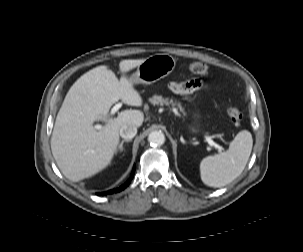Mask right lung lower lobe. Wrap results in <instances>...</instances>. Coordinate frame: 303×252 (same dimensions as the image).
Instances as JSON below:
<instances>
[{"mask_svg":"<svg viewBox=\"0 0 303 252\" xmlns=\"http://www.w3.org/2000/svg\"><path fill=\"white\" fill-rule=\"evenodd\" d=\"M134 172H135V167L133 168L131 177L129 178V180H128L124 185L120 186V187L117 188V189L109 190V191H107V192L97 193V195H107V194H112V193H117V192L122 191V190L125 189V188L129 185V183L131 182V180H132V178H133V175H134Z\"/></svg>","mask_w":303,"mask_h":252,"instance_id":"obj_1","label":"right lung lower lobe"}]
</instances>
